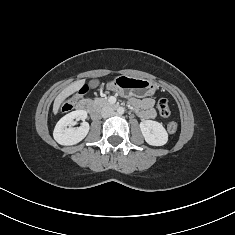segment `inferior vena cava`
<instances>
[{
    "label": "inferior vena cava",
    "instance_id": "inferior-vena-cava-1",
    "mask_svg": "<svg viewBox=\"0 0 235 235\" xmlns=\"http://www.w3.org/2000/svg\"><path fill=\"white\" fill-rule=\"evenodd\" d=\"M114 113L113 109L111 107H104L101 111V115L103 118H108L112 116Z\"/></svg>",
    "mask_w": 235,
    "mask_h": 235
}]
</instances>
